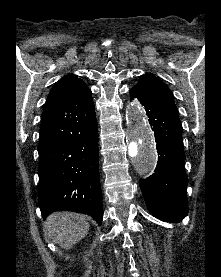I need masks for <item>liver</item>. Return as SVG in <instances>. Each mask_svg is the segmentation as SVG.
Returning a JSON list of instances; mask_svg holds the SVG:
<instances>
[{
    "label": "liver",
    "instance_id": "1",
    "mask_svg": "<svg viewBox=\"0 0 221 277\" xmlns=\"http://www.w3.org/2000/svg\"><path fill=\"white\" fill-rule=\"evenodd\" d=\"M88 220V216L83 214L55 212L48 216L44 231L54 243L69 250L88 234Z\"/></svg>",
    "mask_w": 221,
    "mask_h": 277
}]
</instances>
